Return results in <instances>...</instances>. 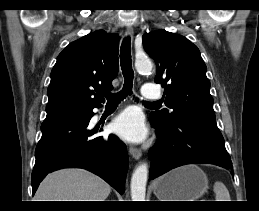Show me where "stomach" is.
Here are the masks:
<instances>
[{
    "mask_svg": "<svg viewBox=\"0 0 259 211\" xmlns=\"http://www.w3.org/2000/svg\"><path fill=\"white\" fill-rule=\"evenodd\" d=\"M208 189V178L201 168L187 165L155 180L154 194L160 201H195Z\"/></svg>",
    "mask_w": 259,
    "mask_h": 211,
    "instance_id": "1",
    "label": "stomach"
}]
</instances>
